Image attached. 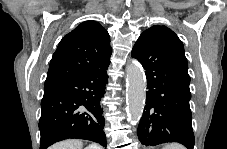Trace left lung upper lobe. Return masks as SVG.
Returning <instances> with one entry per match:
<instances>
[{"mask_svg":"<svg viewBox=\"0 0 227 149\" xmlns=\"http://www.w3.org/2000/svg\"><path fill=\"white\" fill-rule=\"evenodd\" d=\"M155 27L161 29L167 35L168 39L173 44V46L178 51H180L183 54V56L185 57V55H184V46H183L182 41L178 38V36L172 30H170L169 28H167L165 26L156 25Z\"/></svg>","mask_w":227,"mask_h":149,"instance_id":"1","label":"left lung upper lobe"}]
</instances>
